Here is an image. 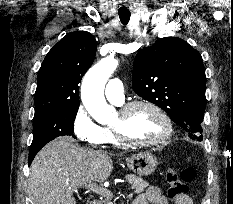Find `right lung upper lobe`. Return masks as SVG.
<instances>
[{
    "label": "right lung upper lobe",
    "mask_w": 233,
    "mask_h": 204,
    "mask_svg": "<svg viewBox=\"0 0 233 204\" xmlns=\"http://www.w3.org/2000/svg\"><path fill=\"white\" fill-rule=\"evenodd\" d=\"M96 47L86 31L71 32L53 46L38 72L35 113L79 106L78 84L93 63Z\"/></svg>",
    "instance_id": "obj_1"
}]
</instances>
